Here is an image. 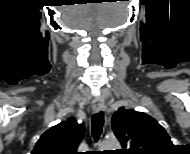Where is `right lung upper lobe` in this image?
Wrapping results in <instances>:
<instances>
[{
    "label": "right lung upper lobe",
    "instance_id": "cb5924a9",
    "mask_svg": "<svg viewBox=\"0 0 190 154\" xmlns=\"http://www.w3.org/2000/svg\"><path fill=\"white\" fill-rule=\"evenodd\" d=\"M83 132L84 126L71 117L47 130L32 154H76Z\"/></svg>",
    "mask_w": 190,
    "mask_h": 154
}]
</instances>
